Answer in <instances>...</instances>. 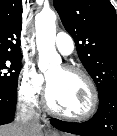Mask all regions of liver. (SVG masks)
<instances>
[{"instance_id":"6515ba94","label":"liver","mask_w":117,"mask_h":136,"mask_svg":"<svg viewBox=\"0 0 117 136\" xmlns=\"http://www.w3.org/2000/svg\"><path fill=\"white\" fill-rule=\"evenodd\" d=\"M24 134L23 126L18 122L0 126V136H25ZM32 136H41L40 129L34 131Z\"/></svg>"}]
</instances>
